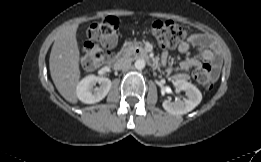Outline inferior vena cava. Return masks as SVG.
I'll list each match as a JSON object with an SVG mask.
<instances>
[{
  "label": "inferior vena cava",
  "mask_w": 261,
  "mask_h": 162,
  "mask_svg": "<svg viewBox=\"0 0 261 162\" xmlns=\"http://www.w3.org/2000/svg\"><path fill=\"white\" fill-rule=\"evenodd\" d=\"M131 66V60L130 59H120L114 64V69L119 70V69H129Z\"/></svg>",
  "instance_id": "obj_1"
}]
</instances>
